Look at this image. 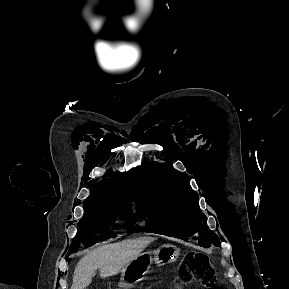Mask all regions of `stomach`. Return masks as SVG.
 <instances>
[{
	"mask_svg": "<svg viewBox=\"0 0 289 289\" xmlns=\"http://www.w3.org/2000/svg\"><path fill=\"white\" fill-rule=\"evenodd\" d=\"M178 256L179 250L171 244H164L153 252H141L126 269L121 271L120 286L132 287L150 271L152 262L163 265L174 262Z\"/></svg>",
	"mask_w": 289,
	"mask_h": 289,
	"instance_id": "stomach-1",
	"label": "stomach"
}]
</instances>
